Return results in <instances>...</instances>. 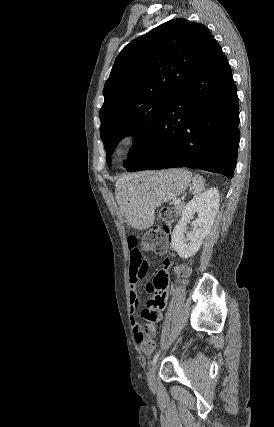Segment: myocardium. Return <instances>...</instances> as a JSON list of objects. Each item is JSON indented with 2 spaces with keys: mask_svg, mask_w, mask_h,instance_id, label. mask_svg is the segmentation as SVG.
I'll return each mask as SVG.
<instances>
[{
  "mask_svg": "<svg viewBox=\"0 0 274 427\" xmlns=\"http://www.w3.org/2000/svg\"><path fill=\"white\" fill-rule=\"evenodd\" d=\"M140 136L135 131H124L117 135L110 147V154L116 161L122 162L132 156L136 150Z\"/></svg>",
  "mask_w": 274,
  "mask_h": 427,
  "instance_id": "f54148a6",
  "label": "myocardium"
}]
</instances>
